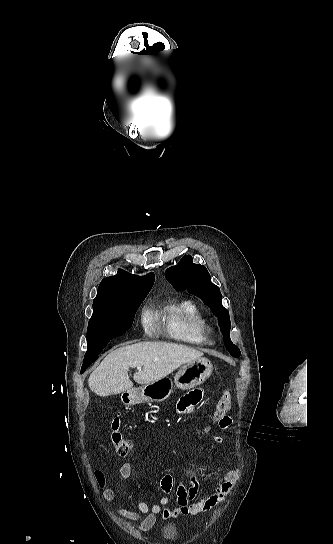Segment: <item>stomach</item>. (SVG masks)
<instances>
[{"instance_id": "obj_1", "label": "stomach", "mask_w": 333, "mask_h": 544, "mask_svg": "<svg viewBox=\"0 0 333 544\" xmlns=\"http://www.w3.org/2000/svg\"><path fill=\"white\" fill-rule=\"evenodd\" d=\"M213 365L206 358H199L184 364L177 372L174 382L177 388L182 390L191 389L202 384L212 373ZM173 391V383L163 377L142 387L131 389L125 392L126 404H142L145 402H162L166 400Z\"/></svg>"}]
</instances>
